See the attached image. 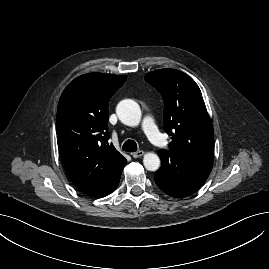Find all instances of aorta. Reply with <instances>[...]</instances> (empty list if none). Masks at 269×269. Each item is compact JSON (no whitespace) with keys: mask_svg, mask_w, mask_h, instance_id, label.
Instances as JSON below:
<instances>
[{"mask_svg":"<svg viewBox=\"0 0 269 269\" xmlns=\"http://www.w3.org/2000/svg\"><path fill=\"white\" fill-rule=\"evenodd\" d=\"M116 113L122 123L128 126H137L141 120L140 106L131 99L122 100L116 108ZM143 164L148 171H156L160 167L157 154L148 152L144 155Z\"/></svg>","mask_w":269,"mask_h":269,"instance_id":"1","label":"aorta"}]
</instances>
